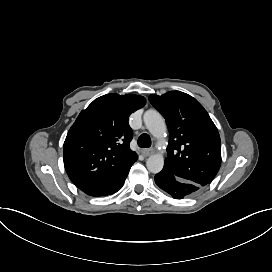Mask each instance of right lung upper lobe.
I'll use <instances>...</instances> for the list:
<instances>
[{
    "instance_id": "cb5924a9",
    "label": "right lung upper lobe",
    "mask_w": 272,
    "mask_h": 272,
    "mask_svg": "<svg viewBox=\"0 0 272 272\" xmlns=\"http://www.w3.org/2000/svg\"><path fill=\"white\" fill-rule=\"evenodd\" d=\"M145 103L138 95L107 94L79 114L63 147L66 172L79 189L107 181L137 160L128 118Z\"/></svg>"
}]
</instances>
